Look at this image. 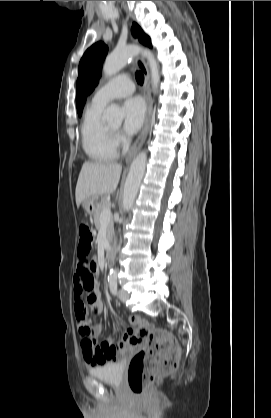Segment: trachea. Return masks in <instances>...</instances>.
Wrapping results in <instances>:
<instances>
[{"instance_id":"trachea-1","label":"trachea","mask_w":271,"mask_h":418,"mask_svg":"<svg viewBox=\"0 0 271 418\" xmlns=\"http://www.w3.org/2000/svg\"><path fill=\"white\" fill-rule=\"evenodd\" d=\"M136 80L141 85L144 82V75L141 72H139V71L136 72Z\"/></svg>"}]
</instances>
